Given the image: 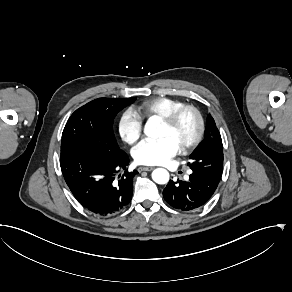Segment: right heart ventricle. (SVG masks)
<instances>
[{
	"label": "right heart ventricle",
	"instance_id": "obj_1",
	"mask_svg": "<svg viewBox=\"0 0 292 292\" xmlns=\"http://www.w3.org/2000/svg\"><path fill=\"white\" fill-rule=\"evenodd\" d=\"M183 104L181 100L173 97L157 96L143 100L138 107V111L139 114L146 119H150L153 116H157L161 119L174 108Z\"/></svg>",
	"mask_w": 292,
	"mask_h": 292
}]
</instances>
